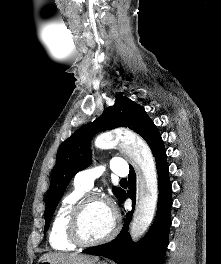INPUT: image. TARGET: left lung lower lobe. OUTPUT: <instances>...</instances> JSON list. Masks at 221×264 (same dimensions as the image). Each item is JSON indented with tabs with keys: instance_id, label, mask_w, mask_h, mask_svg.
<instances>
[{
	"instance_id": "obj_1",
	"label": "left lung lower lobe",
	"mask_w": 221,
	"mask_h": 264,
	"mask_svg": "<svg viewBox=\"0 0 221 264\" xmlns=\"http://www.w3.org/2000/svg\"><path fill=\"white\" fill-rule=\"evenodd\" d=\"M153 156H155L158 172L159 199L154 223L147 234L137 243H133L128 234L136 193V176L134 170L130 168L128 194L124 192L120 202H124L129 196L133 200V209L127 213L120 234L107 244L83 250L84 253L104 256L114 260L117 264H163L168 245L172 206L171 183L163 141L154 150Z\"/></svg>"
}]
</instances>
